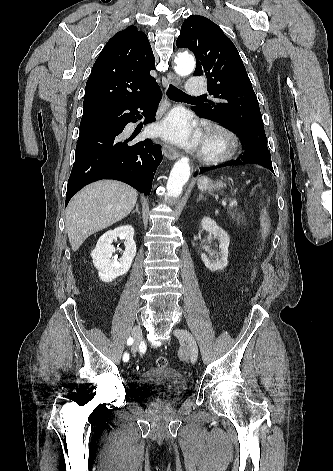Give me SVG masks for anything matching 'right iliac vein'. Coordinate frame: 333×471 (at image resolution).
<instances>
[{
  "label": "right iliac vein",
  "instance_id": "1",
  "mask_svg": "<svg viewBox=\"0 0 333 471\" xmlns=\"http://www.w3.org/2000/svg\"><path fill=\"white\" fill-rule=\"evenodd\" d=\"M132 336L134 338V342L132 345V352L136 353L139 347V344L142 340V329L139 325H136L132 329Z\"/></svg>",
  "mask_w": 333,
  "mask_h": 471
}]
</instances>
